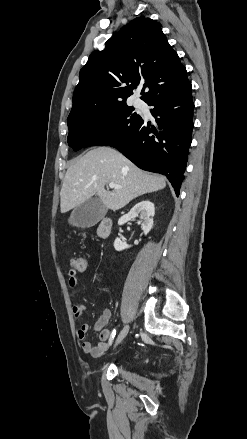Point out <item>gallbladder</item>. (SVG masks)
Masks as SVG:
<instances>
[{
  "instance_id": "obj_1",
  "label": "gallbladder",
  "mask_w": 247,
  "mask_h": 439,
  "mask_svg": "<svg viewBox=\"0 0 247 439\" xmlns=\"http://www.w3.org/2000/svg\"><path fill=\"white\" fill-rule=\"evenodd\" d=\"M106 212L107 208L101 200L91 197L72 211L68 221L72 226L88 228L97 224Z\"/></svg>"
}]
</instances>
